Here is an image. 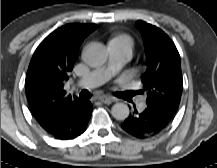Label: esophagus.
Masks as SVG:
<instances>
[{
    "label": "esophagus",
    "instance_id": "obj_1",
    "mask_svg": "<svg viewBox=\"0 0 217 168\" xmlns=\"http://www.w3.org/2000/svg\"><path fill=\"white\" fill-rule=\"evenodd\" d=\"M99 100L102 103L109 105L115 100V98L111 97V96L103 95V96L99 97Z\"/></svg>",
    "mask_w": 217,
    "mask_h": 168
}]
</instances>
